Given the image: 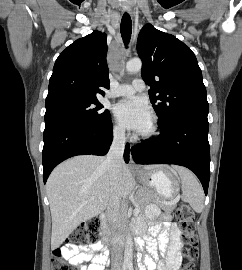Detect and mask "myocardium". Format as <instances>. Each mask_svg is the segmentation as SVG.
Masks as SVG:
<instances>
[{
    "label": "myocardium",
    "instance_id": "myocardium-1",
    "mask_svg": "<svg viewBox=\"0 0 242 270\" xmlns=\"http://www.w3.org/2000/svg\"><path fill=\"white\" fill-rule=\"evenodd\" d=\"M158 130H159L158 120L155 116H152L148 128L145 131L140 132L138 136L143 140H149L158 134Z\"/></svg>",
    "mask_w": 242,
    "mask_h": 270
}]
</instances>
